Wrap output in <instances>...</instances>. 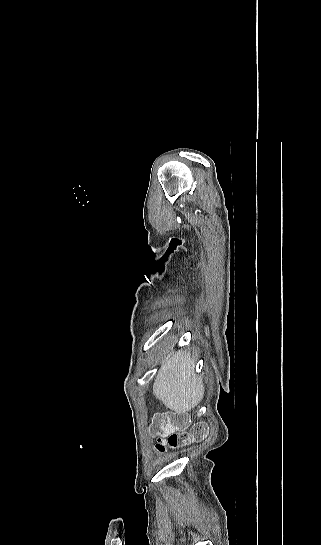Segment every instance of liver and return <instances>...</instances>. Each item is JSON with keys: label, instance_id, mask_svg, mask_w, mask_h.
<instances>
[{"label": "liver", "instance_id": "obj_1", "mask_svg": "<svg viewBox=\"0 0 321 545\" xmlns=\"http://www.w3.org/2000/svg\"><path fill=\"white\" fill-rule=\"evenodd\" d=\"M164 361L153 385V393L175 413H188L204 397L202 379L194 375L195 361L190 353L178 351Z\"/></svg>", "mask_w": 321, "mask_h": 545}]
</instances>
